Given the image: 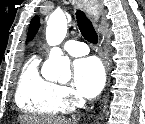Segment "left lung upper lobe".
<instances>
[{
    "mask_svg": "<svg viewBox=\"0 0 145 124\" xmlns=\"http://www.w3.org/2000/svg\"><path fill=\"white\" fill-rule=\"evenodd\" d=\"M39 28V18L36 16L32 19L28 32V39H32Z\"/></svg>",
    "mask_w": 145,
    "mask_h": 124,
    "instance_id": "obj_1",
    "label": "left lung upper lobe"
}]
</instances>
